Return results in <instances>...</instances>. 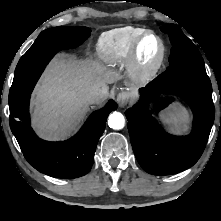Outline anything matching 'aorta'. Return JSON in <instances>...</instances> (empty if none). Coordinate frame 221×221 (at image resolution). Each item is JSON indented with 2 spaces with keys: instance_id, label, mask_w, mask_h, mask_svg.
<instances>
[{
  "instance_id": "762f6f07",
  "label": "aorta",
  "mask_w": 221,
  "mask_h": 221,
  "mask_svg": "<svg viewBox=\"0 0 221 221\" xmlns=\"http://www.w3.org/2000/svg\"><path fill=\"white\" fill-rule=\"evenodd\" d=\"M108 125L110 128L120 130L125 125L124 116L120 112H113L108 117Z\"/></svg>"
}]
</instances>
